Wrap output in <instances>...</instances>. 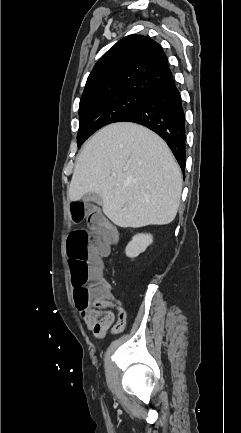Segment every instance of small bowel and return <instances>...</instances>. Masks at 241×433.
<instances>
[{
    "label": "small bowel",
    "mask_w": 241,
    "mask_h": 433,
    "mask_svg": "<svg viewBox=\"0 0 241 433\" xmlns=\"http://www.w3.org/2000/svg\"><path fill=\"white\" fill-rule=\"evenodd\" d=\"M102 285L105 294L88 306L87 312H80L88 329L99 339L104 338L109 330L113 334L122 332L127 322V313L115 301L112 286L105 280H102Z\"/></svg>",
    "instance_id": "obj_1"
}]
</instances>
